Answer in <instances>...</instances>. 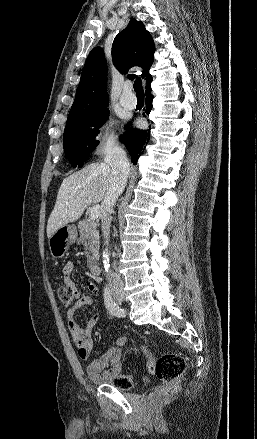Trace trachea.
<instances>
[{
	"instance_id": "obj_1",
	"label": "trachea",
	"mask_w": 257,
	"mask_h": 439,
	"mask_svg": "<svg viewBox=\"0 0 257 439\" xmlns=\"http://www.w3.org/2000/svg\"><path fill=\"white\" fill-rule=\"evenodd\" d=\"M133 87H134V90H135L137 95L144 96V90H143V87H142L141 78H137L135 80Z\"/></svg>"
}]
</instances>
